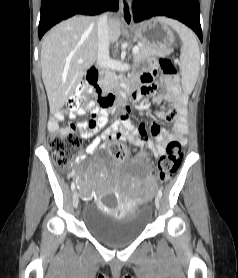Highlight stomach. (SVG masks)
<instances>
[{
    "label": "stomach",
    "mask_w": 238,
    "mask_h": 278,
    "mask_svg": "<svg viewBox=\"0 0 238 278\" xmlns=\"http://www.w3.org/2000/svg\"><path fill=\"white\" fill-rule=\"evenodd\" d=\"M135 36L146 45L158 49H171L175 42V33L161 18L144 21L133 27Z\"/></svg>",
    "instance_id": "1"
}]
</instances>
